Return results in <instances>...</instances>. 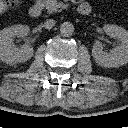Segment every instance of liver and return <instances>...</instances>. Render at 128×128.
I'll use <instances>...</instances> for the list:
<instances>
[{
  "label": "liver",
  "mask_w": 128,
  "mask_h": 128,
  "mask_svg": "<svg viewBox=\"0 0 128 128\" xmlns=\"http://www.w3.org/2000/svg\"><path fill=\"white\" fill-rule=\"evenodd\" d=\"M7 4L5 3L4 0H0V14L4 13L5 11H7Z\"/></svg>",
  "instance_id": "6515ba94"
}]
</instances>
